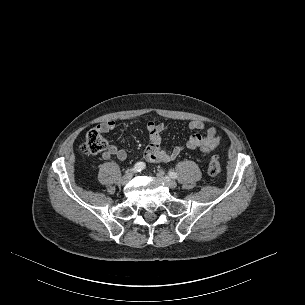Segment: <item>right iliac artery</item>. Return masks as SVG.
Wrapping results in <instances>:
<instances>
[{"mask_svg": "<svg viewBox=\"0 0 305 305\" xmlns=\"http://www.w3.org/2000/svg\"><path fill=\"white\" fill-rule=\"evenodd\" d=\"M145 167H146L145 163H143V162H137V163L134 165L132 171H133V172H140V171H142L143 169H145Z\"/></svg>", "mask_w": 305, "mask_h": 305, "instance_id": "obj_1", "label": "right iliac artery"}]
</instances>
